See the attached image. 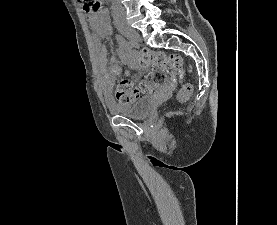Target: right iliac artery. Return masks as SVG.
Instances as JSON below:
<instances>
[{"mask_svg": "<svg viewBox=\"0 0 277 225\" xmlns=\"http://www.w3.org/2000/svg\"><path fill=\"white\" fill-rule=\"evenodd\" d=\"M120 37L124 40V38H123L122 36H120ZM126 45H127L129 48H133V46H134V44H133L132 41H127V42H126Z\"/></svg>", "mask_w": 277, "mask_h": 225, "instance_id": "right-iliac-artery-1", "label": "right iliac artery"}]
</instances>
